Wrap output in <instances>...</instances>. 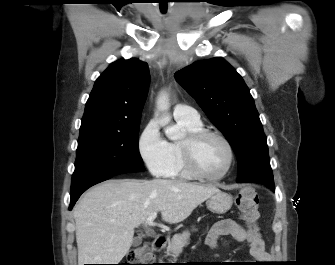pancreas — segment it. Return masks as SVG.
Listing matches in <instances>:
<instances>
[{
    "label": "pancreas",
    "instance_id": "1",
    "mask_svg": "<svg viewBox=\"0 0 335 265\" xmlns=\"http://www.w3.org/2000/svg\"><path fill=\"white\" fill-rule=\"evenodd\" d=\"M189 240L190 232L188 230L183 231L181 234L174 235L168 243L167 255L173 256L176 259L182 253L183 247L188 245Z\"/></svg>",
    "mask_w": 335,
    "mask_h": 265
}]
</instances>
